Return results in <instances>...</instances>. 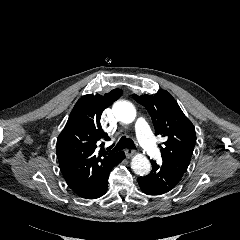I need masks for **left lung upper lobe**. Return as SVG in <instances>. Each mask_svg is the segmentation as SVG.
<instances>
[{
  "mask_svg": "<svg viewBox=\"0 0 240 240\" xmlns=\"http://www.w3.org/2000/svg\"><path fill=\"white\" fill-rule=\"evenodd\" d=\"M146 107L155 128V135L166 138L161 148L162 166L183 177L193 154L196 134L191 121L184 115L176 100L166 90L154 95H133Z\"/></svg>",
  "mask_w": 240,
  "mask_h": 240,
  "instance_id": "obj_1",
  "label": "left lung upper lobe"
}]
</instances>
